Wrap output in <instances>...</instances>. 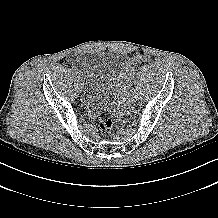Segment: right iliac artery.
I'll list each match as a JSON object with an SVG mask.
<instances>
[{"instance_id":"82829eb1","label":"right iliac artery","mask_w":218,"mask_h":218,"mask_svg":"<svg viewBox=\"0 0 218 218\" xmlns=\"http://www.w3.org/2000/svg\"><path fill=\"white\" fill-rule=\"evenodd\" d=\"M73 72L76 73V74H78V71H77V69H75V68L73 69ZM78 75H79V74H78ZM78 75H77V76H78Z\"/></svg>"}]
</instances>
